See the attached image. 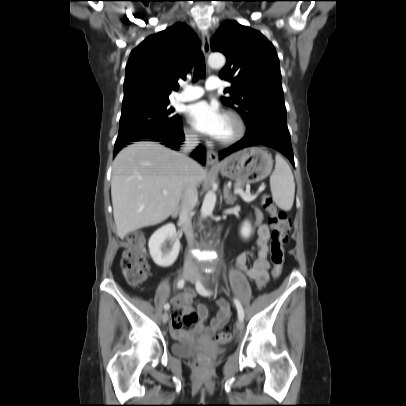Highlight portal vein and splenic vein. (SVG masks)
Wrapping results in <instances>:
<instances>
[{
    "instance_id": "1",
    "label": "portal vein and splenic vein",
    "mask_w": 406,
    "mask_h": 406,
    "mask_svg": "<svg viewBox=\"0 0 406 406\" xmlns=\"http://www.w3.org/2000/svg\"><path fill=\"white\" fill-rule=\"evenodd\" d=\"M162 193H163L164 195H166V194H167V191H166V190H163ZM235 193L239 194L243 199H245V200H247V201L253 200V198L250 197L248 193H245L241 188L235 189Z\"/></svg>"
}]
</instances>
